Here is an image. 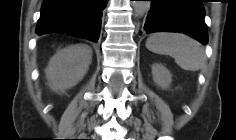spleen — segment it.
<instances>
[{"instance_id": "spleen-1", "label": "spleen", "mask_w": 236, "mask_h": 140, "mask_svg": "<svg viewBox=\"0 0 236 140\" xmlns=\"http://www.w3.org/2000/svg\"><path fill=\"white\" fill-rule=\"evenodd\" d=\"M148 50L169 55L183 70L198 71L205 66L206 56L201 44L180 33H155L146 41Z\"/></svg>"}]
</instances>
